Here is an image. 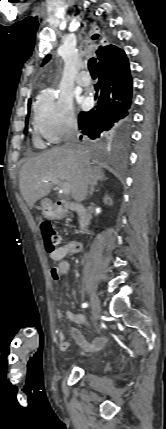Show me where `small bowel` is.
Here are the masks:
<instances>
[{
	"instance_id": "small-bowel-1",
	"label": "small bowel",
	"mask_w": 166,
	"mask_h": 429,
	"mask_svg": "<svg viewBox=\"0 0 166 429\" xmlns=\"http://www.w3.org/2000/svg\"><path fill=\"white\" fill-rule=\"evenodd\" d=\"M81 251L82 244L76 241H71L51 252L50 258L53 261L58 262V265L51 270L52 278L56 281L66 278L70 273V263L68 261V257L76 255ZM65 314L69 320L76 324L87 323L86 317L82 314L75 313L71 310H67ZM56 316L58 319H61L64 316V312L58 309L56 311ZM69 332L75 342L82 348L83 353H93L102 350L108 342L106 337H96L94 340L89 342L86 340L83 333L74 327H71ZM58 339L61 350L66 351L70 348L69 342L61 331L58 333Z\"/></svg>"
}]
</instances>
